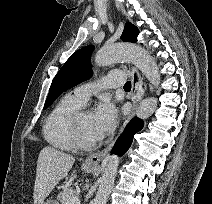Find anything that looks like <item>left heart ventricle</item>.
Returning <instances> with one entry per match:
<instances>
[{"label":"left heart ventricle","instance_id":"1","mask_svg":"<svg viewBox=\"0 0 212 204\" xmlns=\"http://www.w3.org/2000/svg\"><path fill=\"white\" fill-rule=\"evenodd\" d=\"M80 131L84 140L94 142L99 140L96 132L94 113L85 114L80 122Z\"/></svg>","mask_w":212,"mask_h":204}]
</instances>
